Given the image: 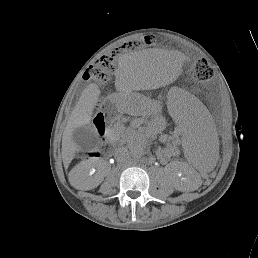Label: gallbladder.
Masks as SVG:
<instances>
[{
	"instance_id": "obj_1",
	"label": "gallbladder",
	"mask_w": 258,
	"mask_h": 258,
	"mask_svg": "<svg viewBox=\"0 0 258 258\" xmlns=\"http://www.w3.org/2000/svg\"><path fill=\"white\" fill-rule=\"evenodd\" d=\"M73 141L83 150L91 151L98 147L99 138L90 125L76 128L72 134Z\"/></svg>"
}]
</instances>
